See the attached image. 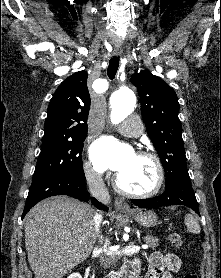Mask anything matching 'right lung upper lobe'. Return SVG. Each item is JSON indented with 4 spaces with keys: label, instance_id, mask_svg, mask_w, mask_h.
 <instances>
[{
    "label": "right lung upper lobe",
    "instance_id": "cb5924a9",
    "mask_svg": "<svg viewBox=\"0 0 221 278\" xmlns=\"http://www.w3.org/2000/svg\"><path fill=\"white\" fill-rule=\"evenodd\" d=\"M87 77L85 71L76 72L57 88L48 106L42 142L87 134Z\"/></svg>",
    "mask_w": 221,
    "mask_h": 278
}]
</instances>
